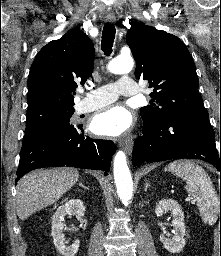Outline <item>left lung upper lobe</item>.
I'll return each mask as SVG.
<instances>
[{
	"label": "left lung upper lobe",
	"instance_id": "left-lung-upper-lobe-1",
	"mask_svg": "<svg viewBox=\"0 0 221 256\" xmlns=\"http://www.w3.org/2000/svg\"><path fill=\"white\" fill-rule=\"evenodd\" d=\"M126 42L137 63L136 78L147 80L153 88L151 105L140 111L143 121L160 123L176 113H208L198 92L199 79L192 56L178 37L132 23Z\"/></svg>",
	"mask_w": 221,
	"mask_h": 256
}]
</instances>
